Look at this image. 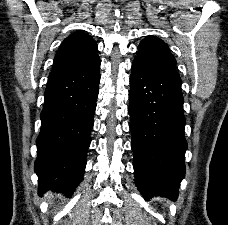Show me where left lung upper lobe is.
<instances>
[{
	"label": "left lung upper lobe",
	"instance_id": "left-lung-upper-lobe-1",
	"mask_svg": "<svg viewBox=\"0 0 228 225\" xmlns=\"http://www.w3.org/2000/svg\"><path fill=\"white\" fill-rule=\"evenodd\" d=\"M135 59L158 69L176 70V60L168 45L154 36H147L141 41Z\"/></svg>",
	"mask_w": 228,
	"mask_h": 225
}]
</instances>
